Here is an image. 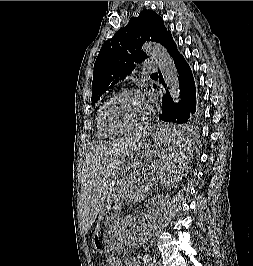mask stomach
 Listing matches in <instances>:
<instances>
[{
    "label": "stomach",
    "instance_id": "1",
    "mask_svg": "<svg viewBox=\"0 0 253 266\" xmlns=\"http://www.w3.org/2000/svg\"><path fill=\"white\" fill-rule=\"evenodd\" d=\"M153 138V143L146 142L144 138L138 141L129 154L120 159L109 177L107 200L92 237L93 247L99 253H109L117 244L123 179L129 172L142 166L153 156H159V151L163 150V139L173 137L171 132H163L162 126H159Z\"/></svg>",
    "mask_w": 253,
    "mask_h": 266
}]
</instances>
